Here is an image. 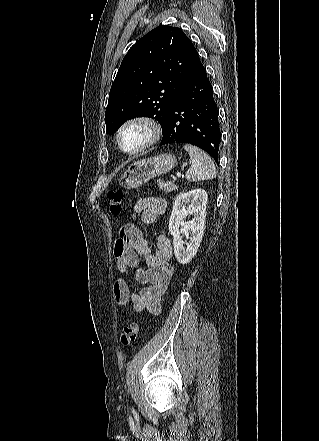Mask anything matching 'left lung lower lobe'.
<instances>
[{"instance_id":"0a47b994","label":"left lung lower lobe","mask_w":319,"mask_h":441,"mask_svg":"<svg viewBox=\"0 0 319 441\" xmlns=\"http://www.w3.org/2000/svg\"><path fill=\"white\" fill-rule=\"evenodd\" d=\"M220 141L213 88L200 62L177 93L163 129L161 144H193L209 153L218 164Z\"/></svg>"}]
</instances>
